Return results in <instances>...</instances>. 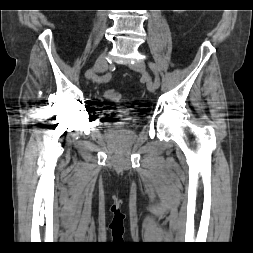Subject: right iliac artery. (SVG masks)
<instances>
[{
	"label": "right iliac artery",
	"mask_w": 253,
	"mask_h": 253,
	"mask_svg": "<svg viewBox=\"0 0 253 253\" xmlns=\"http://www.w3.org/2000/svg\"><path fill=\"white\" fill-rule=\"evenodd\" d=\"M110 78H111V75L109 73L105 74L102 77H98L96 75L92 77L93 80L98 81V82H108Z\"/></svg>",
	"instance_id": "obj_1"
}]
</instances>
